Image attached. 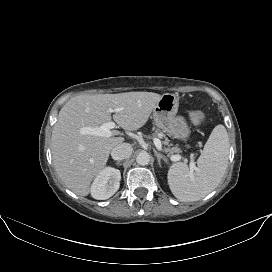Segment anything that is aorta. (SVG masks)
Returning a JSON list of instances; mask_svg holds the SVG:
<instances>
[{"instance_id": "762f6f07", "label": "aorta", "mask_w": 272, "mask_h": 272, "mask_svg": "<svg viewBox=\"0 0 272 272\" xmlns=\"http://www.w3.org/2000/svg\"><path fill=\"white\" fill-rule=\"evenodd\" d=\"M149 161H150V155L145 151L140 152L136 157V162L139 165H147Z\"/></svg>"}]
</instances>
